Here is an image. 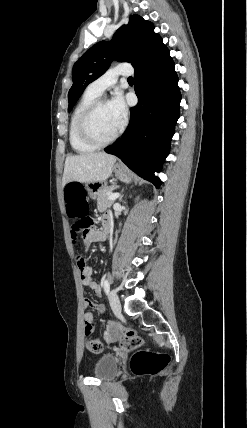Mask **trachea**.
<instances>
[{
	"instance_id": "trachea-1",
	"label": "trachea",
	"mask_w": 247,
	"mask_h": 428,
	"mask_svg": "<svg viewBox=\"0 0 247 428\" xmlns=\"http://www.w3.org/2000/svg\"><path fill=\"white\" fill-rule=\"evenodd\" d=\"M128 81H133V78H132V77H129V78H128Z\"/></svg>"
}]
</instances>
